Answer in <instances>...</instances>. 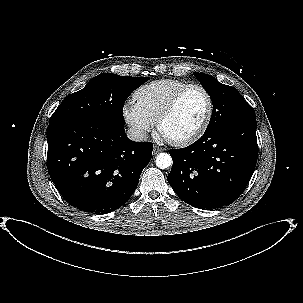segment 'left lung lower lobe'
Segmentation results:
<instances>
[{"instance_id": "0a47b994", "label": "left lung lower lobe", "mask_w": 303, "mask_h": 303, "mask_svg": "<svg viewBox=\"0 0 303 303\" xmlns=\"http://www.w3.org/2000/svg\"><path fill=\"white\" fill-rule=\"evenodd\" d=\"M255 118L219 126L192 145L171 149L168 182L187 204L216 209L233 203L245 190L256 166Z\"/></svg>"}]
</instances>
